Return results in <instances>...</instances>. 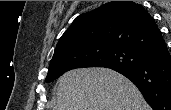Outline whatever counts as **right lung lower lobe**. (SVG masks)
Listing matches in <instances>:
<instances>
[{"label": "right lung lower lobe", "mask_w": 171, "mask_h": 110, "mask_svg": "<svg viewBox=\"0 0 171 110\" xmlns=\"http://www.w3.org/2000/svg\"><path fill=\"white\" fill-rule=\"evenodd\" d=\"M134 67L113 69L130 79L153 110H171V56L166 43L148 51Z\"/></svg>", "instance_id": "1"}]
</instances>
